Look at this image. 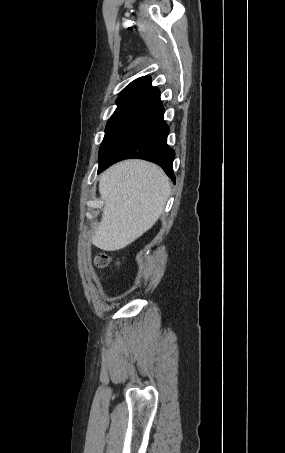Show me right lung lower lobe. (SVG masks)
<instances>
[{
	"instance_id": "1",
	"label": "right lung lower lobe",
	"mask_w": 285,
	"mask_h": 453,
	"mask_svg": "<svg viewBox=\"0 0 285 453\" xmlns=\"http://www.w3.org/2000/svg\"><path fill=\"white\" fill-rule=\"evenodd\" d=\"M160 91L151 82L123 102L105 132L99 150L98 173L124 159L140 158L161 166L175 183V152L167 144Z\"/></svg>"
}]
</instances>
